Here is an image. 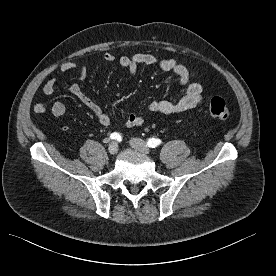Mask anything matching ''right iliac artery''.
<instances>
[{"label": "right iliac artery", "instance_id": "1", "mask_svg": "<svg viewBox=\"0 0 276 276\" xmlns=\"http://www.w3.org/2000/svg\"><path fill=\"white\" fill-rule=\"evenodd\" d=\"M110 139L112 140H117V141H121L122 140V136L120 133L114 132L110 135Z\"/></svg>", "mask_w": 276, "mask_h": 276}]
</instances>
